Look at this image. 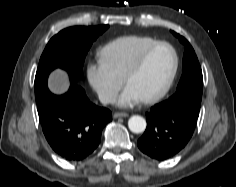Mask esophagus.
Returning <instances> with one entry per match:
<instances>
[{"mask_svg": "<svg viewBox=\"0 0 236 187\" xmlns=\"http://www.w3.org/2000/svg\"><path fill=\"white\" fill-rule=\"evenodd\" d=\"M114 118H119V117H128V113L125 112H116L113 115Z\"/></svg>", "mask_w": 236, "mask_h": 187, "instance_id": "1", "label": "esophagus"}]
</instances>
